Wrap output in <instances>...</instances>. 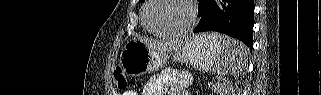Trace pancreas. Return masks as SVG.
Listing matches in <instances>:
<instances>
[{"instance_id":"obj_1","label":"pancreas","mask_w":321,"mask_h":95,"mask_svg":"<svg viewBox=\"0 0 321 95\" xmlns=\"http://www.w3.org/2000/svg\"><path fill=\"white\" fill-rule=\"evenodd\" d=\"M209 88H214V90H218L221 87H224V85H214L213 83H208Z\"/></svg>"}]
</instances>
